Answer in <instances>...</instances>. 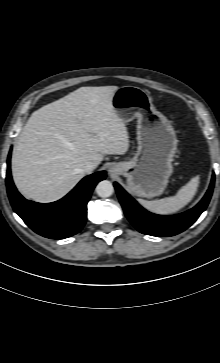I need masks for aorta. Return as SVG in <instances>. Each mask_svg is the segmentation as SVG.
<instances>
[{"instance_id":"762f6f07","label":"aorta","mask_w":220,"mask_h":363,"mask_svg":"<svg viewBox=\"0 0 220 363\" xmlns=\"http://www.w3.org/2000/svg\"><path fill=\"white\" fill-rule=\"evenodd\" d=\"M114 192L113 184L108 180L100 181L96 186V193L102 198L110 197Z\"/></svg>"}]
</instances>
